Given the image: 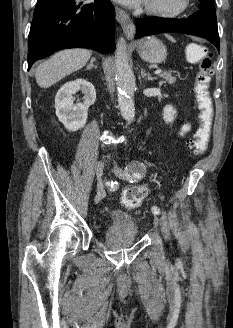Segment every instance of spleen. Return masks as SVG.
Segmentation results:
<instances>
[{
	"label": "spleen",
	"instance_id": "obj_1",
	"mask_svg": "<svg viewBox=\"0 0 233 328\" xmlns=\"http://www.w3.org/2000/svg\"><path fill=\"white\" fill-rule=\"evenodd\" d=\"M189 48L193 53H195L197 56H200V49L196 45H190Z\"/></svg>",
	"mask_w": 233,
	"mask_h": 328
}]
</instances>
